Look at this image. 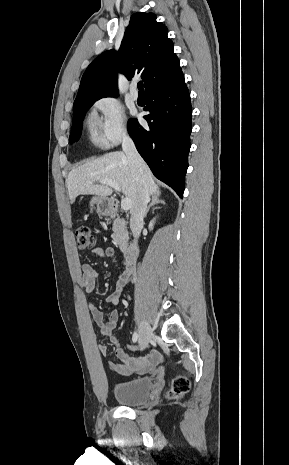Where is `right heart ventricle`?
Wrapping results in <instances>:
<instances>
[{
  "mask_svg": "<svg viewBox=\"0 0 289 465\" xmlns=\"http://www.w3.org/2000/svg\"><path fill=\"white\" fill-rule=\"evenodd\" d=\"M87 129L89 138L93 145L97 147H104L106 145V142L100 132L99 120L94 113H91L87 119Z\"/></svg>",
  "mask_w": 289,
  "mask_h": 465,
  "instance_id": "obj_1",
  "label": "right heart ventricle"
}]
</instances>
